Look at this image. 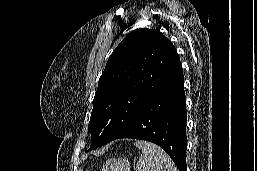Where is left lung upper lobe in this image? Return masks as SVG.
I'll use <instances>...</instances> for the list:
<instances>
[{"label": "left lung upper lobe", "instance_id": "left-lung-upper-lobe-1", "mask_svg": "<svg viewBox=\"0 0 257 171\" xmlns=\"http://www.w3.org/2000/svg\"><path fill=\"white\" fill-rule=\"evenodd\" d=\"M178 58L160 31L130 32L107 61L93 99L89 150L110 142L136 117Z\"/></svg>", "mask_w": 257, "mask_h": 171}]
</instances>
